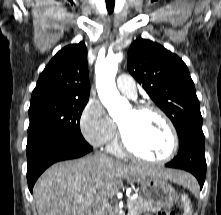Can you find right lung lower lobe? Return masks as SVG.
Returning <instances> with one entry per match:
<instances>
[{
	"instance_id": "1",
	"label": "right lung lower lobe",
	"mask_w": 221,
	"mask_h": 215,
	"mask_svg": "<svg viewBox=\"0 0 221 215\" xmlns=\"http://www.w3.org/2000/svg\"><path fill=\"white\" fill-rule=\"evenodd\" d=\"M84 139L66 136L51 137L26 147L27 181L30 192L41 173L53 163L79 158L92 151Z\"/></svg>"
}]
</instances>
